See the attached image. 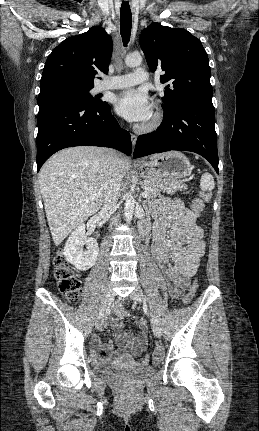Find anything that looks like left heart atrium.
I'll use <instances>...</instances> for the list:
<instances>
[{
    "label": "left heart atrium",
    "mask_w": 259,
    "mask_h": 431,
    "mask_svg": "<svg viewBox=\"0 0 259 431\" xmlns=\"http://www.w3.org/2000/svg\"><path fill=\"white\" fill-rule=\"evenodd\" d=\"M115 110L131 122H145L152 115L150 98L140 90H128L118 95L115 99Z\"/></svg>",
    "instance_id": "obj_1"
}]
</instances>
